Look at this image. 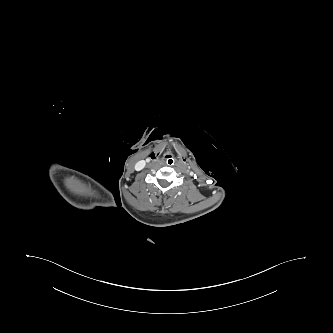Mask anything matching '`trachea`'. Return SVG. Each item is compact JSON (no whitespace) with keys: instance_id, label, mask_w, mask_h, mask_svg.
Wrapping results in <instances>:
<instances>
[{"instance_id":"trachea-1","label":"trachea","mask_w":333,"mask_h":333,"mask_svg":"<svg viewBox=\"0 0 333 333\" xmlns=\"http://www.w3.org/2000/svg\"><path fill=\"white\" fill-rule=\"evenodd\" d=\"M164 162H165L168 166H173V165L177 162V157H176L173 153H168V154L164 157Z\"/></svg>"}]
</instances>
